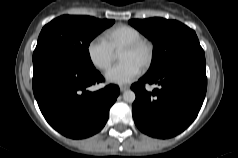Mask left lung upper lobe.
<instances>
[{
	"instance_id": "obj_1",
	"label": "left lung upper lobe",
	"mask_w": 238,
	"mask_h": 158,
	"mask_svg": "<svg viewBox=\"0 0 238 158\" xmlns=\"http://www.w3.org/2000/svg\"><path fill=\"white\" fill-rule=\"evenodd\" d=\"M129 23L154 44L152 62L146 76H153L180 59L204 55L196 33L178 21L149 18L133 19Z\"/></svg>"
}]
</instances>
